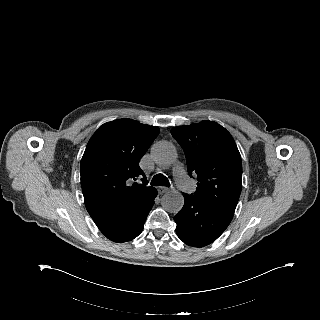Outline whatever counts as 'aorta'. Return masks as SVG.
I'll list each match as a JSON object with an SVG mask.
<instances>
[{"label":"aorta","instance_id":"obj_1","mask_svg":"<svg viewBox=\"0 0 320 320\" xmlns=\"http://www.w3.org/2000/svg\"><path fill=\"white\" fill-rule=\"evenodd\" d=\"M151 158L157 165L169 167L176 161L177 151L171 143L160 141L153 145ZM183 205L184 197L180 192H168L162 197V206L170 213H178Z\"/></svg>","mask_w":320,"mask_h":320}]
</instances>
